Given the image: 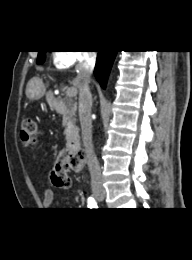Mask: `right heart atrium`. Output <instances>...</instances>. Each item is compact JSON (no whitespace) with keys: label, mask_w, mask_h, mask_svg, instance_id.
<instances>
[{"label":"right heart atrium","mask_w":192,"mask_h":260,"mask_svg":"<svg viewBox=\"0 0 192 260\" xmlns=\"http://www.w3.org/2000/svg\"><path fill=\"white\" fill-rule=\"evenodd\" d=\"M88 58L87 53L79 51H59L55 54V63L60 68H70Z\"/></svg>","instance_id":"1"}]
</instances>
